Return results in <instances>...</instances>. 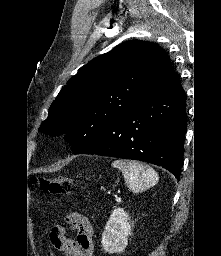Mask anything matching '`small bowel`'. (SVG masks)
Returning <instances> with one entry per match:
<instances>
[{"instance_id":"obj_1","label":"small bowel","mask_w":221,"mask_h":256,"mask_svg":"<svg viewBox=\"0 0 221 256\" xmlns=\"http://www.w3.org/2000/svg\"><path fill=\"white\" fill-rule=\"evenodd\" d=\"M67 221L76 230L77 238L67 239L64 237V230L55 227L50 234L53 246L65 256H93V229L87 217L72 213L67 217ZM48 256H53V254L49 252Z\"/></svg>"}]
</instances>
